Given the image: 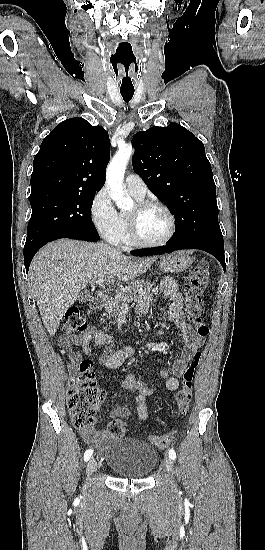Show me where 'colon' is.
<instances>
[{"instance_id": "1", "label": "colon", "mask_w": 265, "mask_h": 550, "mask_svg": "<svg viewBox=\"0 0 265 550\" xmlns=\"http://www.w3.org/2000/svg\"><path fill=\"white\" fill-rule=\"evenodd\" d=\"M209 281V266L200 262L194 266L186 277V315L188 321L201 336L208 334V327L203 321V295ZM87 328L86 320L77 308L66 312L63 324V334L82 333ZM201 360V352H197L182 376V387L176 395V405L181 415L185 416L190 408L193 397V384L196 370ZM105 392L97 386L93 363L82 360L78 365V374L70 381L67 390V407L72 424L76 428L91 427L96 421V409L103 402ZM127 427L119 418L112 419L108 424V432L115 437L126 433ZM175 432L150 438L153 445L166 448L174 441Z\"/></svg>"}]
</instances>
